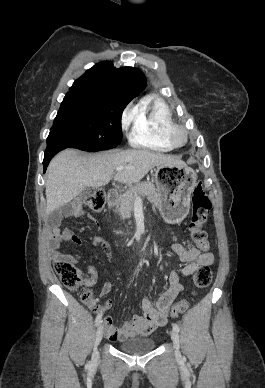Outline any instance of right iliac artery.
<instances>
[{"mask_svg": "<svg viewBox=\"0 0 265 388\" xmlns=\"http://www.w3.org/2000/svg\"><path fill=\"white\" fill-rule=\"evenodd\" d=\"M102 322V313L98 314L95 319V324L98 326Z\"/></svg>", "mask_w": 265, "mask_h": 388, "instance_id": "right-iliac-artery-1", "label": "right iliac artery"}]
</instances>
